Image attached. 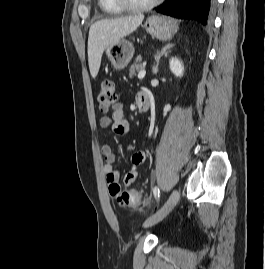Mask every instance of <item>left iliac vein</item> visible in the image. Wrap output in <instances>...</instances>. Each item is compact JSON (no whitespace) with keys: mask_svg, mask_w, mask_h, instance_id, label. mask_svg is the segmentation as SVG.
<instances>
[{"mask_svg":"<svg viewBox=\"0 0 265 269\" xmlns=\"http://www.w3.org/2000/svg\"><path fill=\"white\" fill-rule=\"evenodd\" d=\"M179 200V193L177 190H173L168 200L165 202V204L145 223V227H151L161 220H163L175 207Z\"/></svg>","mask_w":265,"mask_h":269,"instance_id":"left-iliac-vein-1","label":"left iliac vein"}]
</instances>
